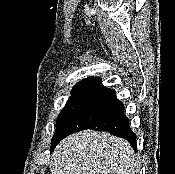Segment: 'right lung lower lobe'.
<instances>
[{
    "mask_svg": "<svg viewBox=\"0 0 175 174\" xmlns=\"http://www.w3.org/2000/svg\"><path fill=\"white\" fill-rule=\"evenodd\" d=\"M84 129L108 131L112 135L125 138L136 150V135L124 114V105L116 98L113 89L100 85L90 93L72 118L61 139L51 145V151L62 139Z\"/></svg>",
    "mask_w": 175,
    "mask_h": 174,
    "instance_id": "98d812e1",
    "label": "right lung lower lobe"
}]
</instances>
